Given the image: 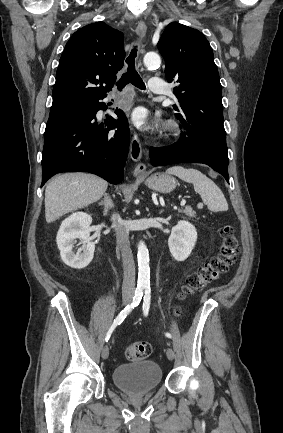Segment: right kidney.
I'll use <instances>...</instances> for the list:
<instances>
[{"label": "right kidney", "mask_w": 283, "mask_h": 433, "mask_svg": "<svg viewBox=\"0 0 283 433\" xmlns=\"http://www.w3.org/2000/svg\"><path fill=\"white\" fill-rule=\"evenodd\" d=\"M92 218L84 212H76L61 223L56 242L62 261L74 269H83L93 259L95 244L90 238ZM80 239L82 247L75 253L74 242Z\"/></svg>", "instance_id": "ca27d5eb"}]
</instances>
